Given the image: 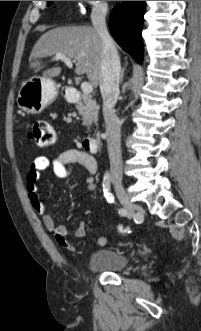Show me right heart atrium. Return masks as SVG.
I'll return each mask as SVG.
<instances>
[{"label": "right heart atrium", "mask_w": 201, "mask_h": 331, "mask_svg": "<svg viewBox=\"0 0 201 331\" xmlns=\"http://www.w3.org/2000/svg\"><path fill=\"white\" fill-rule=\"evenodd\" d=\"M82 16H88L89 19H100L106 15L108 10V1H80Z\"/></svg>", "instance_id": "d8ad5b80"}]
</instances>
